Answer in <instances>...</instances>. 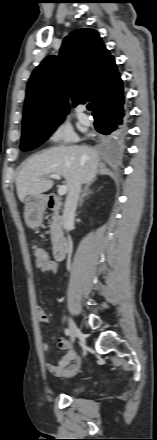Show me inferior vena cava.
I'll use <instances>...</instances> for the list:
<instances>
[{
  "mask_svg": "<svg viewBox=\"0 0 157 440\" xmlns=\"http://www.w3.org/2000/svg\"><path fill=\"white\" fill-rule=\"evenodd\" d=\"M81 192V183L76 181L75 184L70 188L69 193L66 198L62 223L65 230L70 229L74 223L75 211L77 207V202L79 200V195Z\"/></svg>",
  "mask_w": 157,
  "mask_h": 440,
  "instance_id": "inferior-vena-cava-1",
  "label": "inferior vena cava"
}]
</instances>
